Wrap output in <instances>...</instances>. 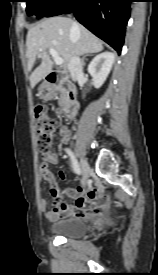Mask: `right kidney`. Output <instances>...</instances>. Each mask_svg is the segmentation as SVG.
<instances>
[{
  "instance_id": "obj_1",
  "label": "right kidney",
  "mask_w": 158,
  "mask_h": 275,
  "mask_svg": "<svg viewBox=\"0 0 158 275\" xmlns=\"http://www.w3.org/2000/svg\"><path fill=\"white\" fill-rule=\"evenodd\" d=\"M115 55L111 52H103L90 62L88 65V72L92 76L93 85L95 88H100L108 77Z\"/></svg>"
}]
</instances>
